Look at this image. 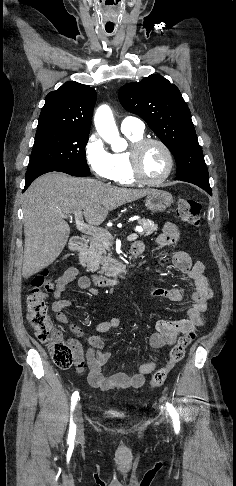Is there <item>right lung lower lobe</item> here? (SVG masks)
<instances>
[{"instance_id": "1", "label": "right lung lower lobe", "mask_w": 236, "mask_h": 486, "mask_svg": "<svg viewBox=\"0 0 236 486\" xmlns=\"http://www.w3.org/2000/svg\"><path fill=\"white\" fill-rule=\"evenodd\" d=\"M51 171H59V172H64L72 176H77V177H85L90 175V171H83V170H77V169H69V168H61V167H52V166H41V167H35L32 169H27L26 175H25V187L23 192L29 187V185L32 183L34 179L39 177L42 174H45L47 172Z\"/></svg>"}]
</instances>
